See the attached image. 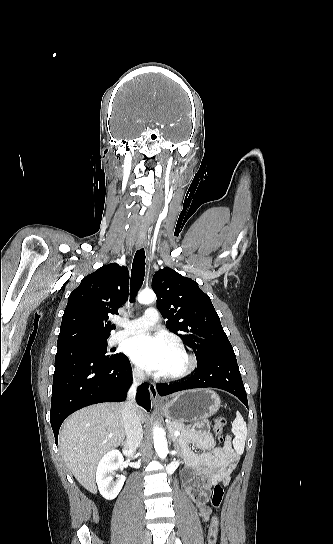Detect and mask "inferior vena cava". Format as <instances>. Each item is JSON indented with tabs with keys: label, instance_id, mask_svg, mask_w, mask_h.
I'll use <instances>...</instances> for the list:
<instances>
[{
	"label": "inferior vena cava",
	"instance_id": "602c4592",
	"mask_svg": "<svg viewBox=\"0 0 333 544\" xmlns=\"http://www.w3.org/2000/svg\"><path fill=\"white\" fill-rule=\"evenodd\" d=\"M145 375L140 369L133 370V386L128 392V399L122 404V418L126 431V446L130 454L140 446L143 438V429L137 406L134 402L135 388L144 382Z\"/></svg>",
	"mask_w": 333,
	"mask_h": 544
}]
</instances>
